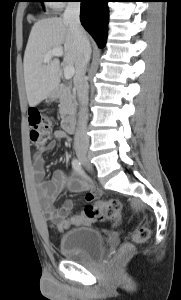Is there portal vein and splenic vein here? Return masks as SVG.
<instances>
[{
	"label": "portal vein and splenic vein",
	"instance_id": "portal-vein-and-splenic-vein-1",
	"mask_svg": "<svg viewBox=\"0 0 181 300\" xmlns=\"http://www.w3.org/2000/svg\"><path fill=\"white\" fill-rule=\"evenodd\" d=\"M64 52L62 48H54L44 56V62H49L52 57H61ZM75 69L73 66H65L64 67V77L65 79H71L74 76Z\"/></svg>",
	"mask_w": 181,
	"mask_h": 300
}]
</instances>
